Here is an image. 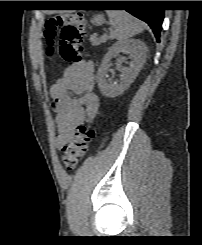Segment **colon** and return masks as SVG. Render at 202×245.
Segmentation results:
<instances>
[{
  "mask_svg": "<svg viewBox=\"0 0 202 245\" xmlns=\"http://www.w3.org/2000/svg\"><path fill=\"white\" fill-rule=\"evenodd\" d=\"M86 29V21L82 16H51L45 23V37L50 45L47 54L51 56L57 53L70 63L80 61L85 52L82 42ZM94 137L95 129L84 125L78 129L74 139L62 148V163L67 170L72 171L77 167Z\"/></svg>",
  "mask_w": 202,
  "mask_h": 245,
  "instance_id": "1",
  "label": "colon"
}]
</instances>
